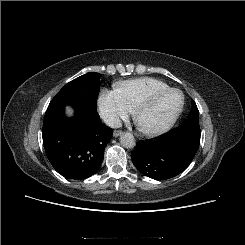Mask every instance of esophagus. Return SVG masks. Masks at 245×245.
Wrapping results in <instances>:
<instances>
[{
  "label": "esophagus",
  "mask_w": 245,
  "mask_h": 245,
  "mask_svg": "<svg viewBox=\"0 0 245 245\" xmlns=\"http://www.w3.org/2000/svg\"><path fill=\"white\" fill-rule=\"evenodd\" d=\"M122 133H123V132H122L121 130H115V131L113 132V136H114V137H118V136H120Z\"/></svg>",
  "instance_id": "esophagus-1"
}]
</instances>
